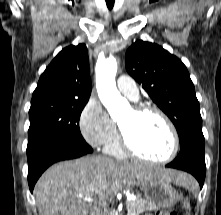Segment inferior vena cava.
<instances>
[{
  "instance_id": "inferior-vena-cava-1",
  "label": "inferior vena cava",
  "mask_w": 221,
  "mask_h": 215,
  "mask_svg": "<svg viewBox=\"0 0 221 215\" xmlns=\"http://www.w3.org/2000/svg\"><path fill=\"white\" fill-rule=\"evenodd\" d=\"M105 213H106V206H105L104 202L99 203L98 205H96L94 207V214L95 215H105Z\"/></svg>"
}]
</instances>
